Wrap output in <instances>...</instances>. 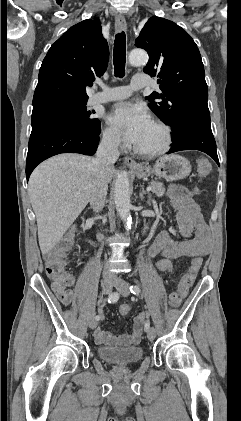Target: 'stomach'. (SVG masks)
Segmentation results:
<instances>
[{
	"instance_id": "obj_1",
	"label": "stomach",
	"mask_w": 241,
	"mask_h": 421,
	"mask_svg": "<svg viewBox=\"0 0 241 421\" xmlns=\"http://www.w3.org/2000/svg\"><path fill=\"white\" fill-rule=\"evenodd\" d=\"M133 172L138 178H147L154 174L166 180H179L190 174L191 165L186 158L172 154L160 157L153 166L146 163L140 164Z\"/></svg>"
}]
</instances>
